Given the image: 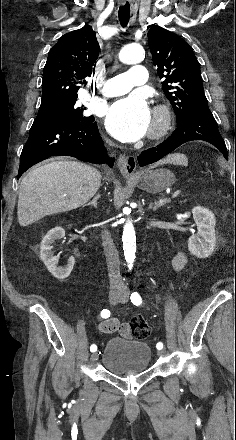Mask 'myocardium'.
Segmentation results:
<instances>
[{
    "instance_id": "obj_1",
    "label": "myocardium",
    "mask_w": 236,
    "mask_h": 440,
    "mask_svg": "<svg viewBox=\"0 0 236 440\" xmlns=\"http://www.w3.org/2000/svg\"><path fill=\"white\" fill-rule=\"evenodd\" d=\"M172 123V112L166 104H159L154 110V118L150 128L149 136L152 139L163 137L170 129Z\"/></svg>"
}]
</instances>
